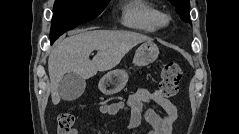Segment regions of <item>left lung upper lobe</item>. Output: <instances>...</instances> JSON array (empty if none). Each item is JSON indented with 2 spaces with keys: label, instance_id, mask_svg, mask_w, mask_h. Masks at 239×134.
<instances>
[{
  "label": "left lung upper lobe",
  "instance_id": "left-lung-upper-lobe-1",
  "mask_svg": "<svg viewBox=\"0 0 239 134\" xmlns=\"http://www.w3.org/2000/svg\"><path fill=\"white\" fill-rule=\"evenodd\" d=\"M175 7L176 11L179 14L180 18L190 23V15H189V8H190V2L189 0H169Z\"/></svg>",
  "mask_w": 239,
  "mask_h": 134
}]
</instances>
